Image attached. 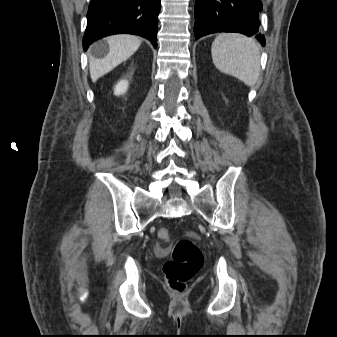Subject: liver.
Wrapping results in <instances>:
<instances>
[{"instance_id": "6515ba94", "label": "liver", "mask_w": 337, "mask_h": 337, "mask_svg": "<svg viewBox=\"0 0 337 337\" xmlns=\"http://www.w3.org/2000/svg\"><path fill=\"white\" fill-rule=\"evenodd\" d=\"M109 51L103 59L90 58V76L93 82L126 61L140 47L141 40L129 34L112 35L106 38Z\"/></svg>"}]
</instances>
